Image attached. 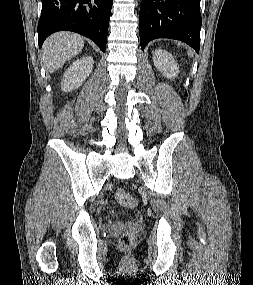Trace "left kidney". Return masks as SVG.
<instances>
[{
    "label": "left kidney",
    "mask_w": 253,
    "mask_h": 285,
    "mask_svg": "<svg viewBox=\"0 0 253 285\" xmlns=\"http://www.w3.org/2000/svg\"><path fill=\"white\" fill-rule=\"evenodd\" d=\"M153 62L158 71L168 79H174L179 73V67L173 56L163 49L153 53Z\"/></svg>",
    "instance_id": "5707ae66"
}]
</instances>
